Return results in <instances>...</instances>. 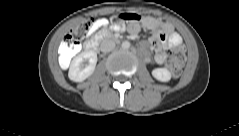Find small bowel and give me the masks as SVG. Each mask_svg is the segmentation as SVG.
Wrapping results in <instances>:
<instances>
[{
    "mask_svg": "<svg viewBox=\"0 0 239 136\" xmlns=\"http://www.w3.org/2000/svg\"><path fill=\"white\" fill-rule=\"evenodd\" d=\"M104 20H96L95 28L100 25H106ZM142 27L146 30L153 31L149 41L152 49L155 51V60L159 64H163L166 61L167 54L165 48L176 47L181 44V37L173 31V28L168 23H160L153 17H145L142 20ZM112 29L120 31L124 29L122 23H116L111 26ZM128 31L131 35L136 36L140 31V26L137 24H131L128 26Z\"/></svg>",
    "mask_w": 239,
    "mask_h": 136,
    "instance_id": "small-bowel-1",
    "label": "small bowel"
}]
</instances>
